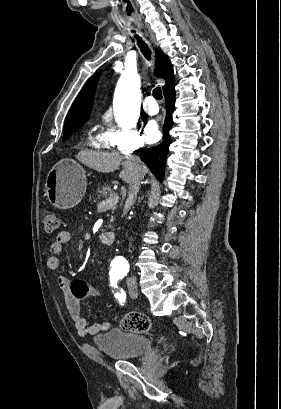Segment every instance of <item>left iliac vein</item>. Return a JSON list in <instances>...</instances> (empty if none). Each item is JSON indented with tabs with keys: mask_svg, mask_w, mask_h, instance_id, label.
<instances>
[{
	"mask_svg": "<svg viewBox=\"0 0 281 409\" xmlns=\"http://www.w3.org/2000/svg\"><path fill=\"white\" fill-rule=\"evenodd\" d=\"M128 289H129V295L131 298H137L138 296V288L136 286V284L134 283H129L128 284Z\"/></svg>",
	"mask_w": 281,
	"mask_h": 409,
	"instance_id": "1",
	"label": "left iliac vein"
}]
</instances>
